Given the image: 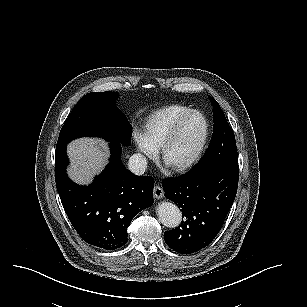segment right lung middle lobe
<instances>
[{"instance_id":"right-lung-middle-lobe-1","label":"right lung middle lobe","mask_w":307,"mask_h":307,"mask_svg":"<svg viewBox=\"0 0 307 307\" xmlns=\"http://www.w3.org/2000/svg\"><path fill=\"white\" fill-rule=\"evenodd\" d=\"M117 95V92L86 94L65 121L56 149L81 136H102L120 145H130L132 126L115 105Z\"/></svg>"}]
</instances>
